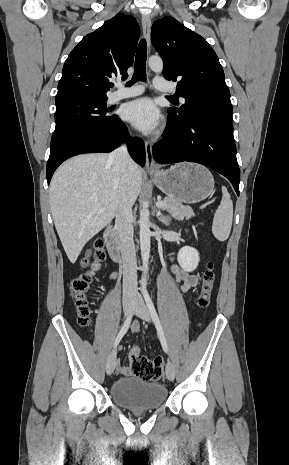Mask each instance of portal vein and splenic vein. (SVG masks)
<instances>
[{
    "instance_id": "portal-vein-and-splenic-vein-1",
    "label": "portal vein and splenic vein",
    "mask_w": 289,
    "mask_h": 465,
    "mask_svg": "<svg viewBox=\"0 0 289 465\" xmlns=\"http://www.w3.org/2000/svg\"><path fill=\"white\" fill-rule=\"evenodd\" d=\"M156 206H157V207H163V206H164V202H163V201H158V202L156 203Z\"/></svg>"
}]
</instances>
